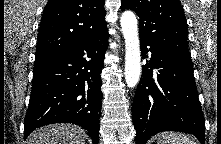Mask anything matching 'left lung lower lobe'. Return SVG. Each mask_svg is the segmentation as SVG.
<instances>
[{"instance_id":"obj_1","label":"left lung lower lobe","mask_w":221,"mask_h":144,"mask_svg":"<svg viewBox=\"0 0 221 144\" xmlns=\"http://www.w3.org/2000/svg\"><path fill=\"white\" fill-rule=\"evenodd\" d=\"M140 42L143 56L150 46L151 60L143 66L132 104L136 143L145 144L163 131L193 134L204 143L205 120L191 57Z\"/></svg>"}]
</instances>
